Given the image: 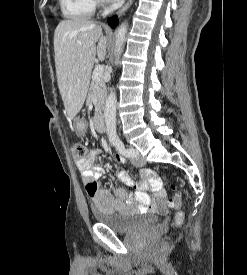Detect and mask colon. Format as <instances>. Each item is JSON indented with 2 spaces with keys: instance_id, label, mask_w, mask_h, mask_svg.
I'll use <instances>...</instances> for the list:
<instances>
[{
  "instance_id": "obj_1",
  "label": "colon",
  "mask_w": 247,
  "mask_h": 275,
  "mask_svg": "<svg viewBox=\"0 0 247 275\" xmlns=\"http://www.w3.org/2000/svg\"><path fill=\"white\" fill-rule=\"evenodd\" d=\"M72 156L76 161L83 160L87 156V148L85 145L81 143H75L73 144L71 148ZM96 185L93 183H89L86 185V192L88 195H92L96 191ZM181 206V194L179 191H175L173 199L170 202V207L174 210H176V214L174 217V225L180 226L182 225L184 221V213L180 210Z\"/></svg>"
}]
</instances>
